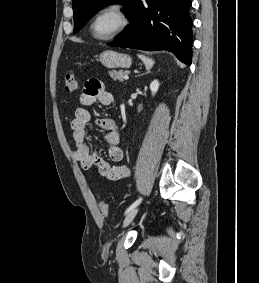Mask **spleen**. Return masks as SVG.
Segmentation results:
<instances>
[{"label":"spleen","mask_w":259,"mask_h":283,"mask_svg":"<svg viewBox=\"0 0 259 283\" xmlns=\"http://www.w3.org/2000/svg\"><path fill=\"white\" fill-rule=\"evenodd\" d=\"M139 58L143 61L145 64L146 69H151L154 65V61L148 57H145L144 55H139Z\"/></svg>","instance_id":"1"}]
</instances>
